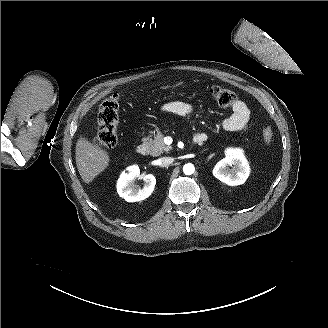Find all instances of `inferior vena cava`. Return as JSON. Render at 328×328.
<instances>
[{"mask_svg":"<svg viewBox=\"0 0 328 328\" xmlns=\"http://www.w3.org/2000/svg\"><path fill=\"white\" fill-rule=\"evenodd\" d=\"M159 166L161 167H167L169 166L170 164L173 163V158L172 157H169V156H164V157H161L159 159Z\"/></svg>","mask_w":328,"mask_h":328,"instance_id":"obj_1","label":"inferior vena cava"}]
</instances>
